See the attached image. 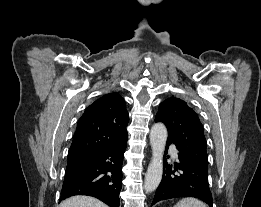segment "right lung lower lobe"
<instances>
[{"label": "right lung lower lobe", "mask_w": 261, "mask_h": 207, "mask_svg": "<svg viewBox=\"0 0 261 207\" xmlns=\"http://www.w3.org/2000/svg\"><path fill=\"white\" fill-rule=\"evenodd\" d=\"M127 141L119 146L68 160L59 202L74 195L93 196L110 207H119L123 154Z\"/></svg>", "instance_id": "right-lung-lower-lobe-1"}]
</instances>
